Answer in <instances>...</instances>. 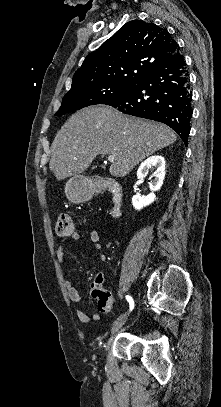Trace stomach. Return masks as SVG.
<instances>
[{
	"label": "stomach",
	"mask_w": 221,
	"mask_h": 407,
	"mask_svg": "<svg viewBox=\"0 0 221 407\" xmlns=\"http://www.w3.org/2000/svg\"><path fill=\"white\" fill-rule=\"evenodd\" d=\"M67 199L73 204L86 202L92 197V189L84 176H74L65 185Z\"/></svg>",
	"instance_id": "0dacf381"
}]
</instances>
